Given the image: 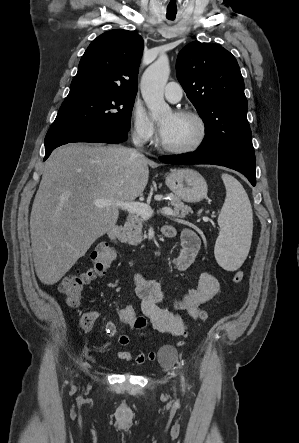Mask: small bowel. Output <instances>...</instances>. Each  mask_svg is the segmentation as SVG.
I'll use <instances>...</instances> for the list:
<instances>
[{"label": "small bowel", "mask_w": 299, "mask_h": 443, "mask_svg": "<svg viewBox=\"0 0 299 443\" xmlns=\"http://www.w3.org/2000/svg\"><path fill=\"white\" fill-rule=\"evenodd\" d=\"M162 233L165 237L172 238L176 231L173 226L166 225L163 227ZM199 248L200 238L198 234L193 229H184L181 236V249L179 254L172 259V267L177 271H185L190 268L197 260ZM133 280L136 295L140 299L139 316L142 319V325L135 332L139 336L144 334L147 323L150 324L152 329L160 333L172 336L181 335L186 328V322L197 319L202 306L220 293L219 281L208 272H203L199 277L198 284L181 296L167 295L160 283L145 278L138 271L134 273ZM87 315L91 319L90 326L100 317V313L96 311L87 313ZM105 332L109 337L116 336L118 333L116 324L112 321L107 322ZM118 341L121 346L129 347L130 338L128 334H121ZM182 344V342L179 343V345ZM110 345V342H106L99 346L86 348L85 356L92 358L95 353L107 351ZM156 356L154 351L138 352L136 355L128 349L118 352L120 359L135 361L138 365L144 364L147 360L154 361Z\"/></svg>", "instance_id": "small-bowel-1"}]
</instances>
